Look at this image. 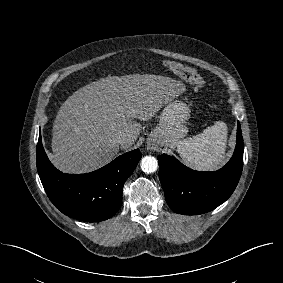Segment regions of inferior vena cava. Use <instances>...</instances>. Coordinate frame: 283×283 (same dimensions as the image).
<instances>
[{"instance_id": "1", "label": "inferior vena cava", "mask_w": 283, "mask_h": 283, "mask_svg": "<svg viewBox=\"0 0 283 283\" xmlns=\"http://www.w3.org/2000/svg\"><path fill=\"white\" fill-rule=\"evenodd\" d=\"M126 141H127V138H126L125 135L118 136V137L115 139V142H116L117 144H120V145L124 144Z\"/></svg>"}]
</instances>
